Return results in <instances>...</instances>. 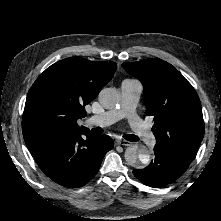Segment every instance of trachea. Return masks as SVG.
<instances>
[{
  "label": "trachea",
  "mask_w": 221,
  "mask_h": 221,
  "mask_svg": "<svg viewBox=\"0 0 221 221\" xmlns=\"http://www.w3.org/2000/svg\"><path fill=\"white\" fill-rule=\"evenodd\" d=\"M124 138L128 141H132V142H136L139 140V138L134 135V134H128V135H124Z\"/></svg>",
  "instance_id": "trachea-1"
}]
</instances>
